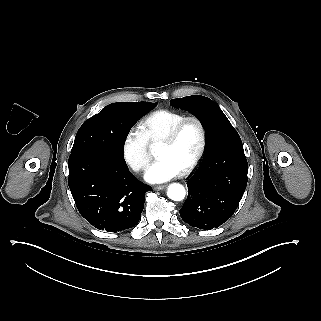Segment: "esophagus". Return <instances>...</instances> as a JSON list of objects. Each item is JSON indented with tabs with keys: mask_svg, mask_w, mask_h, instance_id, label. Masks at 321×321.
Listing matches in <instances>:
<instances>
[{
	"mask_svg": "<svg viewBox=\"0 0 321 321\" xmlns=\"http://www.w3.org/2000/svg\"><path fill=\"white\" fill-rule=\"evenodd\" d=\"M166 187V185H158L154 187V190H162Z\"/></svg>",
	"mask_w": 321,
	"mask_h": 321,
	"instance_id": "34e87169",
	"label": "esophagus"
}]
</instances>
